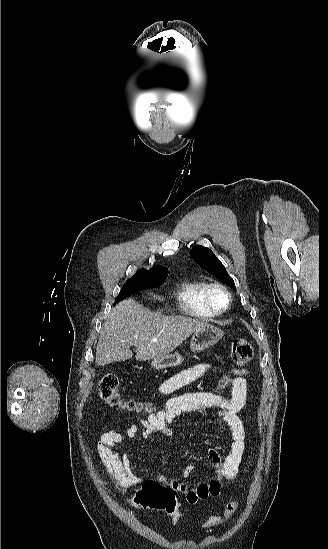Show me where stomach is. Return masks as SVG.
Here are the masks:
<instances>
[{
	"mask_svg": "<svg viewBox=\"0 0 328 549\" xmlns=\"http://www.w3.org/2000/svg\"><path fill=\"white\" fill-rule=\"evenodd\" d=\"M224 333L215 327V325H207V327H201L198 331H195L191 337L190 349L192 353H201L209 347H213L215 343H218L222 339ZM183 359L179 353H174V355H163L159 359H152L151 365L153 369L161 371V369H168V367H177L181 365Z\"/></svg>",
	"mask_w": 328,
	"mask_h": 549,
	"instance_id": "stomach-1",
	"label": "stomach"
}]
</instances>
